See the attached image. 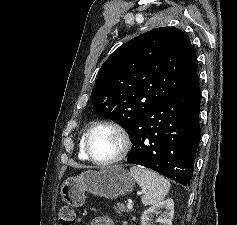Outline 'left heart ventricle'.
Returning a JSON list of instances; mask_svg holds the SVG:
<instances>
[{
    "instance_id": "1",
    "label": "left heart ventricle",
    "mask_w": 237,
    "mask_h": 225,
    "mask_svg": "<svg viewBox=\"0 0 237 225\" xmlns=\"http://www.w3.org/2000/svg\"><path fill=\"white\" fill-rule=\"evenodd\" d=\"M120 138L115 131L109 128L96 129L90 138L91 154L100 160L115 156L120 149Z\"/></svg>"
}]
</instances>
